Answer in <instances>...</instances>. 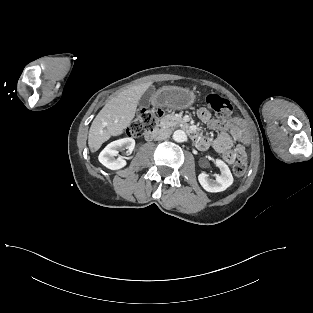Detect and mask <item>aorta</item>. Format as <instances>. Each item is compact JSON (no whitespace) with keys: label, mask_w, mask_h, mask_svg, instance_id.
Listing matches in <instances>:
<instances>
[{"label":"aorta","mask_w":313,"mask_h":313,"mask_svg":"<svg viewBox=\"0 0 313 313\" xmlns=\"http://www.w3.org/2000/svg\"><path fill=\"white\" fill-rule=\"evenodd\" d=\"M186 138V133L183 130H176L173 133V140L176 142H184Z\"/></svg>","instance_id":"762f6f07"}]
</instances>
